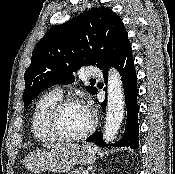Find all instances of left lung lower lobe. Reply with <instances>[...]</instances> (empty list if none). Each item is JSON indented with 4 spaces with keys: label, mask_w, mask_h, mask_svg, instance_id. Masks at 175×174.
I'll return each mask as SVG.
<instances>
[{
    "label": "left lung lower lobe",
    "mask_w": 175,
    "mask_h": 174,
    "mask_svg": "<svg viewBox=\"0 0 175 174\" xmlns=\"http://www.w3.org/2000/svg\"><path fill=\"white\" fill-rule=\"evenodd\" d=\"M115 67L122 76L123 87L125 93V102L127 107V119L125 131L122 138L116 142L115 146H129L138 149L139 141V124H138V103H137V75L134 67V60L131 51V44H128L121 52L119 57L111 65ZM110 68V67H109ZM109 68L103 71L104 80L106 82ZM106 100L102 103V109L106 108ZM87 141L95 142L98 146L105 147L101 132H95Z\"/></svg>",
    "instance_id": "0a47b994"
}]
</instances>
